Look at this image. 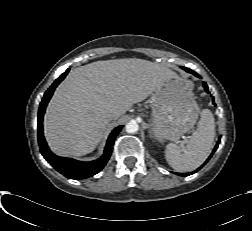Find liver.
<instances>
[{
    "instance_id": "1",
    "label": "liver",
    "mask_w": 252,
    "mask_h": 231,
    "mask_svg": "<svg viewBox=\"0 0 252 231\" xmlns=\"http://www.w3.org/2000/svg\"><path fill=\"white\" fill-rule=\"evenodd\" d=\"M175 73L157 63L129 58L96 61L70 71L44 116V134L60 156L92 152L110 122L145 100ZM114 114L113 119L109 118Z\"/></svg>"
}]
</instances>
